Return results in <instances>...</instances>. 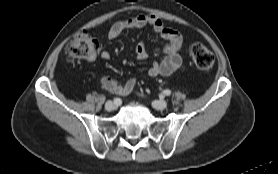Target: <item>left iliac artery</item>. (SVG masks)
Listing matches in <instances>:
<instances>
[{
    "label": "left iliac artery",
    "mask_w": 278,
    "mask_h": 174,
    "mask_svg": "<svg viewBox=\"0 0 278 174\" xmlns=\"http://www.w3.org/2000/svg\"><path fill=\"white\" fill-rule=\"evenodd\" d=\"M163 95L169 96V95H171V91L169 89H166L163 91Z\"/></svg>",
    "instance_id": "1"
}]
</instances>
